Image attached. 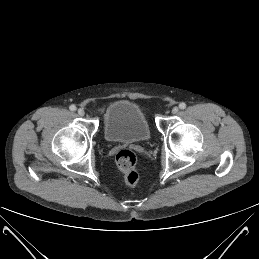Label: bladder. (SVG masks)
<instances>
[{"instance_id":"1","label":"bladder","mask_w":259,"mask_h":259,"mask_svg":"<svg viewBox=\"0 0 259 259\" xmlns=\"http://www.w3.org/2000/svg\"><path fill=\"white\" fill-rule=\"evenodd\" d=\"M103 134L110 143H140L148 141L151 136L143 111L129 100L112 102L106 108Z\"/></svg>"}]
</instances>
